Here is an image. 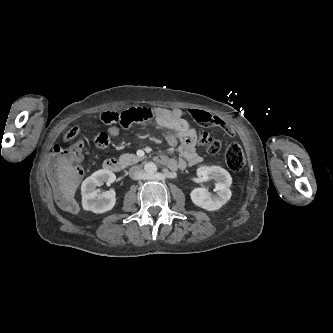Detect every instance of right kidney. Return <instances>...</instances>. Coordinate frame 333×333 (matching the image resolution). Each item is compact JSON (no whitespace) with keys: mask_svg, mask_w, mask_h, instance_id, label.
<instances>
[{"mask_svg":"<svg viewBox=\"0 0 333 333\" xmlns=\"http://www.w3.org/2000/svg\"><path fill=\"white\" fill-rule=\"evenodd\" d=\"M116 179L115 174L107 169H101L87 177L81 185L82 206L93 213H105L111 210L115 203V191L101 192L97 187L104 183L110 185Z\"/></svg>","mask_w":333,"mask_h":333,"instance_id":"1","label":"right kidney"}]
</instances>
